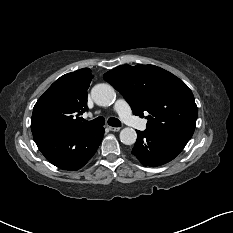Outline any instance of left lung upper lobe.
Returning a JSON list of instances; mask_svg holds the SVG:
<instances>
[{"label":"left lung upper lobe","mask_w":233,"mask_h":233,"mask_svg":"<svg viewBox=\"0 0 233 233\" xmlns=\"http://www.w3.org/2000/svg\"><path fill=\"white\" fill-rule=\"evenodd\" d=\"M129 102L135 115H149L147 129L190 139L197 106L189 87L170 72L154 65H122L104 74Z\"/></svg>","instance_id":"1"}]
</instances>
